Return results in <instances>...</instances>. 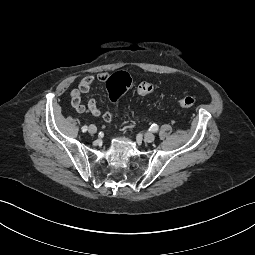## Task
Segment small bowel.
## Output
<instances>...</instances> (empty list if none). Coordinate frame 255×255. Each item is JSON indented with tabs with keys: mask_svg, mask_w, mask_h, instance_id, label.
Here are the masks:
<instances>
[{
	"mask_svg": "<svg viewBox=\"0 0 255 255\" xmlns=\"http://www.w3.org/2000/svg\"><path fill=\"white\" fill-rule=\"evenodd\" d=\"M107 79L106 73H99L96 77L93 75L85 76L81 79L78 84V87L73 89L70 93L71 103L73 108L79 112L83 113L89 111L93 116L100 117L102 116L105 121H110L113 117V114L110 111L102 112L98 106L95 99L91 98L88 100L87 104H84L81 95L90 91L93 87L95 80L104 82Z\"/></svg>",
	"mask_w": 255,
	"mask_h": 255,
	"instance_id": "c3829d8e",
	"label": "small bowel"
}]
</instances>
